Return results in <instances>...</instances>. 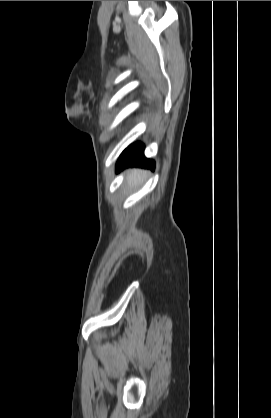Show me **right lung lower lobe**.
<instances>
[{"instance_id":"98d812e1","label":"right lung lower lobe","mask_w":271,"mask_h":418,"mask_svg":"<svg viewBox=\"0 0 271 418\" xmlns=\"http://www.w3.org/2000/svg\"><path fill=\"white\" fill-rule=\"evenodd\" d=\"M129 166L155 168V162L144 156V145L142 143L131 145L121 154L116 164V171H120Z\"/></svg>"}]
</instances>
